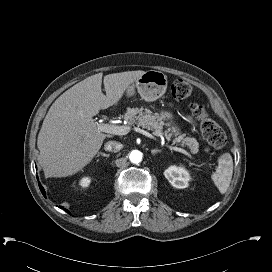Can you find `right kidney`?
Here are the masks:
<instances>
[{"mask_svg":"<svg viewBox=\"0 0 272 272\" xmlns=\"http://www.w3.org/2000/svg\"><path fill=\"white\" fill-rule=\"evenodd\" d=\"M91 182V179L89 177H83L81 180H80V185L82 187H88L89 184Z\"/></svg>","mask_w":272,"mask_h":272,"instance_id":"obj_1","label":"right kidney"}]
</instances>
